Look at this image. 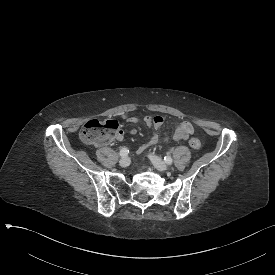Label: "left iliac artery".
<instances>
[{
  "mask_svg": "<svg viewBox=\"0 0 275 275\" xmlns=\"http://www.w3.org/2000/svg\"><path fill=\"white\" fill-rule=\"evenodd\" d=\"M164 161H165L166 164H171L173 159L171 158V156H165Z\"/></svg>",
  "mask_w": 275,
  "mask_h": 275,
  "instance_id": "left-iliac-artery-1",
  "label": "left iliac artery"
}]
</instances>
